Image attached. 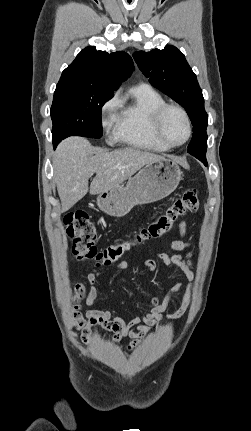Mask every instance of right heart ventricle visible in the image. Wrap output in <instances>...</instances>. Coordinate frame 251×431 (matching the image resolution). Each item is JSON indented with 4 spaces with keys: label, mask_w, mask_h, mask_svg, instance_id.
Segmentation results:
<instances>
[{
    "label": "right heart ventricle",
    "mask_w": 251,
    "mask_h": 431,
    "mask_svg": "<svg viewBox=\"0 0 251 431\" xmlns=\"http://www.w3.org/2000/svg\"><path fill=\"white\" fill-rule=\"evenodd\" d=\"M131 100L122 102L117 115L114 138L135 148L166 152L170 147L161 143L152 131L153 112L165 103L163 97L149 86L134 87Z\"/></svg>",
    "instance_id": "e07e8e85"
}]
</instances>
